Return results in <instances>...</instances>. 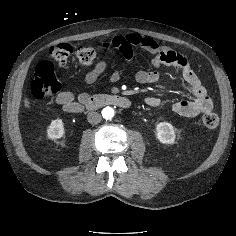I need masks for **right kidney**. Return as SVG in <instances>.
<instances>
[{
    "label": "right kidney",
    "mask_w": 236,
    "mask_h": 236,
    "mask_svg": "<svg viewBox=\"0 0 236 236\" xmlns=\"http://www.w3.org/2000/svg\"><path fill=\"white\" fill-rule=\"evenodd\" d=\"M65 135L63 121L60 119L53 120L47 129V136L52 140H57Z\"/></svg>",
    "instance_id": "1"
}]
</instances>
